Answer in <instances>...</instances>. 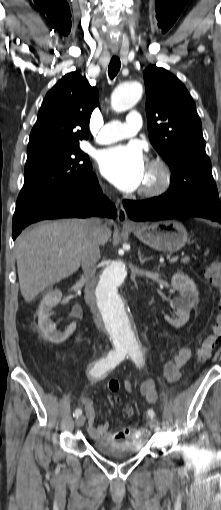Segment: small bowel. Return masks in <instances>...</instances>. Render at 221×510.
<instances>
[{
    "label": "small bowel",
    "instance_id": "small-bowel-1",
    "mask_svg": "<svg viewBox=\"0 0 221 510\" xmlns=\"http://www.w3.org/2000/svg\"><path fill=\"white\" fill-rule=\"evenodd\" d=\"M193 354V347H183L176 354L174 359L168 361L164 365V374L168 381L176 382L179 380L181 375L182 367L191 359ZM126 388L129 391L133 390V386L130 382L126 383ZM141 395H143L149 403H154L157 399V393L152 380L148 379L142 382L138 388ZM81 403L84 406L85 415L87 418V429L89 434L96 440L110 441V440H124L132 439L136 437V430L133 427L126 426L117 432L110 431V423L108 421L96 425V412L94 402L89 397H82ZM125 408L131 410L127 415L132 417L134 415V409L132 406L127 405Z\"/></svg>",
    "mask_w": 221,
    "mask_h": 510
}]
</instances>
